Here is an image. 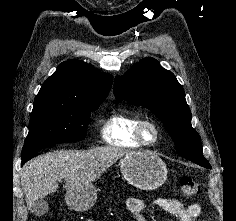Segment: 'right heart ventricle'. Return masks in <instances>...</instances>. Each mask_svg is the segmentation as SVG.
Returning a JSON list of instances; mask_svg holds the SVG:
<instances>
[{"mask_svg": "<svg viewBox=\"0 0 236 221\" xmlns=\"http://www.w3.org/2000/svg\"><path fill=\"white\" fill-rule=\"evenodd\" d=\"M141 118L130 112H115L102 124V139L110 146L124 149H138L142 145L135 138V129Z\"/></svg>", "mask_w": 236, "mask_h": 221, "instance_id": "1", "label": "right heart ventricle"}]
</instances>
